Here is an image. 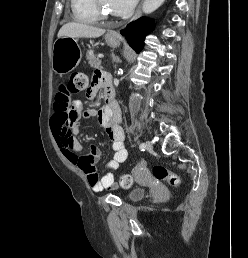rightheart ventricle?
I'll list each match as a JSON object with an SVG mask.
<instances>
[{"label": "right heart ventricle", "mask_w": 248, "mask_h": 258, "mask_svg": "<svg viewBox=\"0 0 248 258\" xmlns=\"http://www.w3.org/2000/svg\"><path fill=\"white\" fill-rule=\"evenodd\" d=\"M70 7L75 21L84 24L97 22L94 0H70Z\"/></svg>", "instance_id": "obj_1"}]
</instances>
